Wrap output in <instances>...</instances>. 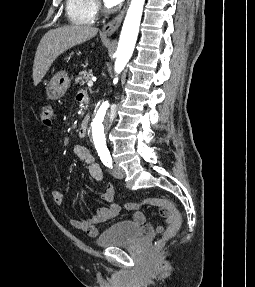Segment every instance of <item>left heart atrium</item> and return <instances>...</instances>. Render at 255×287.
Here are the masks:
<instances>
[{"label":"left heart atrium","mask_w":255,"mask_h":287,"mask_svg":"<svg viewBox=\"0 0 255 287\" xmlns=\"http://www.w3.org/2000/svg\"><path fill=\"white\" fill-rule=\"evenodd\" d=\"M107 1H109L111 4H114L118 0H107Z\"/></svg>","instance_id":"39dd6f15"}]
</instances>
